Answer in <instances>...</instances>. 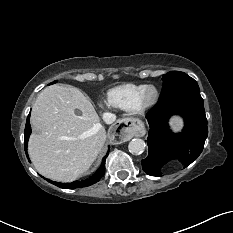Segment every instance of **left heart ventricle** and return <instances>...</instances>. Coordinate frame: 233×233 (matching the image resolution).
I'll use <instances>...</instances> for the list:
<instances>
[{"mask_svg":"<svg viewBox=\"0 0 233 233\" xmlns=\"http://www.w3.org/2000/svg\"><path fill=\"white\" fill-rule=\"evenodd\" d=\"M152 96H153V92L150 91V92L148 93V97L151 98Z\"/></svg>","mask_w":233,"mask_h":233,"instance_id":"left-heart-ventricle-1","label":"left heart ventricle"}]
</instances>
